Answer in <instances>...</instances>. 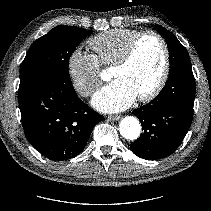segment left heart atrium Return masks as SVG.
<instances>
[{
  "label": "left heart atrium",
  "mask_w": 211,
  "mask_h": 211,
  "mask_svg": "<svg viewBox=\"0 0 211 211\" xmlns=\"http://www.w3.org/2000/svg\"><path fill=\"white\" fill-rule=\"evenodd\" d=\"M136 98L135 91L128 84L116 79L96 92L92 104L102 112L113 113L127 109Z\"/></svg>",
  "instance_id": "1"
}]
</instances>
